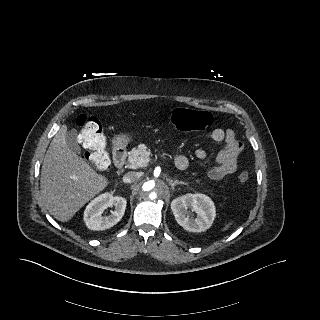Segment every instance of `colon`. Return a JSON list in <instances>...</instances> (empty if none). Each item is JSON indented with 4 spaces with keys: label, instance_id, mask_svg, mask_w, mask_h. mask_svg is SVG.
<instances>
[{
    "label": "colon",
    "instance_id": "colon-1",
    "mask_svg": "<svg viewBox=\"0 0 320 320\" xmlns=\"http://www.w3.org/2000/svg\"><path fill=\"white\" fill-rule=\"evenodd\" d=\"M170 120L181 131L201 132L211 127L217 119L208 111L181 107L171 112ZM76 124L81 129L86 157L97 169H108L111 160L105 151L106 138L100 120L95 116L80 115ZM249 178L250 174L246 170L241 171L237 176L240 183H246Z\"/></svg>",
    "mask_w": 320,
    "mask_h": 320
}]
</instances>
